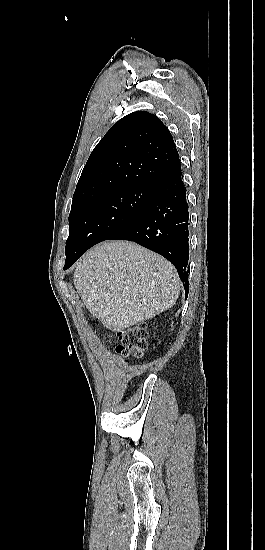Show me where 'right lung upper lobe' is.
Segmentation results:
<instances>
[{
	"mask_svg": "<svg viewBox=\"0 0 265 550\" xmlns=\"http://www.w3.org/2000/svg\"><path fill=\"white\" fill-rule=\"evenodd\" d=\"M180 162L173 137L155 115L137 111L120 119L92 151L72 203L113 190L158 185Z\"/></svg>",
	"mask_w": 265,
	"mask_h": 550,
	"instance_id": "1",
	"label": "right lung upper lobe"
}]
</instances>
